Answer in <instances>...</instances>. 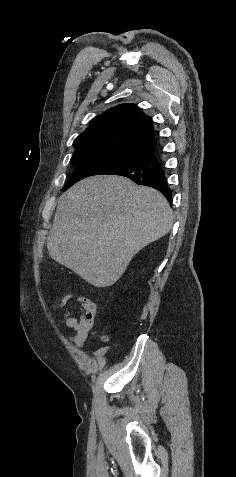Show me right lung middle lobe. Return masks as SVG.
Listing matches in <instances>:
<instances>
[{"label": "right lung middle lobe", "instance_id": "1", "mask_svg": "<svg viewBox=\"0 0 236 477\" xmlns=\"http://www.w3.org/2000/svg\"><path fill=\"white\" fill-rule=\"evenodd\" d=\"M140 160H142L141 156H135L131 158V161L135 163ZM70 162L75 167V170L67 182L66 188L86 177L101 174H113L115 171L124 167V165L120 162L107 159H87Z\"/></svg>", "mask_w": 236, "mask_h": 477}]
</instances>
